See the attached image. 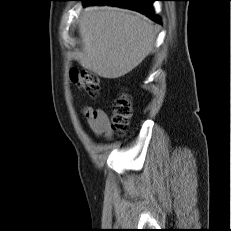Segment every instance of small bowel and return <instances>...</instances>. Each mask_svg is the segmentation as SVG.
<instances>
[{
	"label": "small bowel",
	"mask_w": 231,
	"mask_h": 231,
	"mask_svg": "<svg viewBox=\"0 0 231 231\" xmlns=\"http://www.w3.org/2000/svg\"><path fill=\"white\" fill-rule=\"evenodd\" d=\"M83 114L88 127L95 135H108L110 133V121L102 109L85 107Z\"/></svg>",
	"instance_id": "obj_1"
}]
</instances>
